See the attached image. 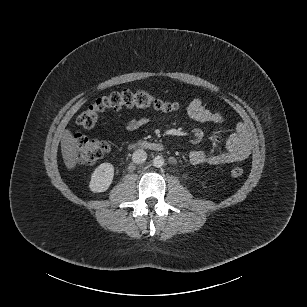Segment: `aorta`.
Masks as SVG:
<instances>
[{"label":"aorta","mask_w":307,"mask_h":307,"mask_svg":"<svg viewBox=\"0 0 307 307\" xmlns=\"http://www.w3.org/2000/svg\"><path fill=\"white\" fill-rule=\"evenodd\" d=\"M165 164V160L162 156H156L154 159H153V165L157 168H161L163 167Z\"/></svg>","instance_id":"aorta-1"}]
</instances>
